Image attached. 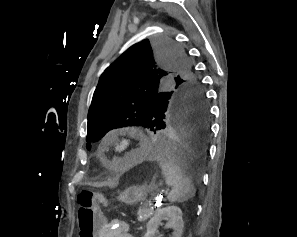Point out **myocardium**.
Segmentation results:
<instances>
[{
	"instance_id": "f54148a6",
	"label": "myocardium",
	"mask_w": 297,
	"mask_h": 237,
	"mask_svg": "<svg viewBox=\"0 0 297 237\" xmlns=\"http://www.w3.org/2000/svg\"><path fill=\"white\" fill-rule=\"evenodd\" d=\"M111 141H113V144L110 152L117 156L129 154L135 146L134 136L130 134L113 138Z\"/></svg>"
}]
</instances>
